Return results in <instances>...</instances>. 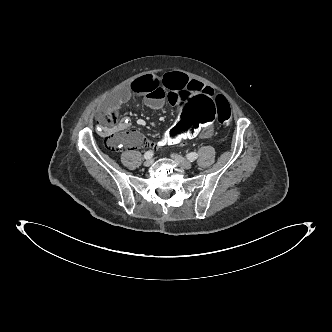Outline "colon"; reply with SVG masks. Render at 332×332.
<instances>
[{
    "mask_svg": "<svg viewBox=\"0 0 332 332\" xmlns=\"http://www.w3.org/2000/svg\"><path fill=\"white\" fill-rule=\"evenodd\" d=\"M124 104H119L108 110L103 116V125L107 132L105 144L110 151H116L122 142V137L117 130V119ZM216 117L223 126L231 123V108L226 99L217 96L214 107L211 101L202 95H195L185 100L179 109V114L174 119L170 130L159 140H155V147L162 146L166 142L176 144L183 139H190L201 135Z\"/></svg>",
    "mask_w": 332,
    "mask_h": 332,
    "instance_id": "colon-1",
    "label": "colon"
}]
</instances>
